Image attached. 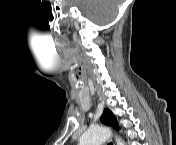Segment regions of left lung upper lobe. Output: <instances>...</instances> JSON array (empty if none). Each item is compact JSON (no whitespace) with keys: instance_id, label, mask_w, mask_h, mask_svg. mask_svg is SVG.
I'll return each mask as SVG.
<instances>
[{"instance_id":"1","label":"left lung upper lobe","mask_w":176,"mask_h":145,"mask_svg":"<svg viewBox=\"0 0 176 145\" xmlns=\"http://www.w3.org/2000/svg\"><path fill=\"white\" fill-rule=\"evenodd\" d=\"M101 122L107 125H111L116 129H119L115 116L108 109L104 110V113L101 116Z\"/></svg>"}]
</instances>
